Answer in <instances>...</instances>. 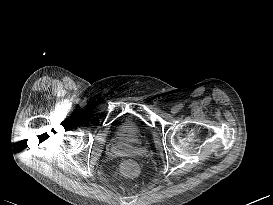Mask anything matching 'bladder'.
I'll list each match as a JSON object with an SVG mask.
<instances>
[{
  "label": "bladder",
  "instance_id": "1",
  "mask_svg": "<svg viewBox=\"0 0 273 205\" xmlns=\"http://www.w3.org/2000/svg\"><path fill=\"white\" fill-rule=\"evenodd\" d=\"M114 135L122 145L134 146L140 143L142 131L133 122L121 120L116 125Z\"/></svg>",
  "mask_w": 273,
  "mask_h": 205
}]
</instances>
